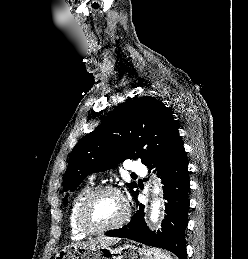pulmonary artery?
<instances>
[{"label":"pulmonary artery","mask_w":248,"mask_h":259,"mask_svg":"<svg viewBox=\"0 0 248 259\" xmlns=\"http://www.w3.org/2000/svg\"><path fill=\"white\" fill-rule=\"evenodd\" d=\"M127 170L133 172V173H143L145 168L144 166L140 163V162H137V161H130L128 166H127ZM95 176L92 175L90 177L91 180H94Z\"/></svg>","instance_id":"e3ab8cb5"}]
</instances>
